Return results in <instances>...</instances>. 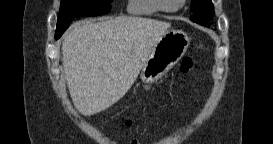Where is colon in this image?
<instances>
[{
	"mask_svg": "<svg viewBox=\"0 0 273 144\" xmlns=\"http://www.w3.org/2000/svg\"><path fill=\"white\" fill-rule=\"evenodd\" d=\"M193 60L189 57L184 58L180 64L178 77H182L190 72L193 67Z\"/></svg>",
	"mask_w": 273,
	"mask_h": 144,
	"instance_id": "1",
	"label": "colon"
}]
</instances>
